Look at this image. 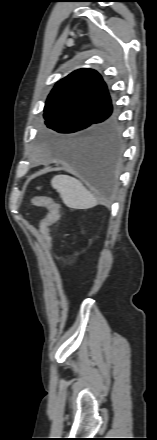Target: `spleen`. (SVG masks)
I'll return each instance as SVG.
<instances>
[{"mask_svg":"<svg viewBox=\"0 0 157 440\" xmlns=\"http://www.w3.org/2000/svg\"><path fill=\"white\" fill-rule=\"evenodd\" d=\"M51 186L60 194L63 203L72 209H89L98 204L97 199L83 184L68 175H56Z\"/></svg>","mask_w":157,"mask_h":440,"instance_id":"1","label":"spleen"}]
</instances>
